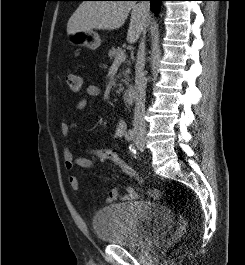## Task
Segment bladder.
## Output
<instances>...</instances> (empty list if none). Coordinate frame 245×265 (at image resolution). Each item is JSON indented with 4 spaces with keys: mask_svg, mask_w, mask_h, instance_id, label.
Returning <instances> with one entry per match:
<instances>
[{
    "mask_svg": "<svg viewBox=\"0 0 245 265\" xmlns=\"http://www.w3.org/2000/svg\"><path fill=\"white\" fill-rule=\"evenodd\" d=\"M170 224L168 210L147 200L107 205L92 219V229L100 240L129 248L160 238Z\"/></svg>",
    "mask_w": 245,
    "mask_h": 265,
    "instance_id": "1",
    "label": "bladder"
}]
</instances>
